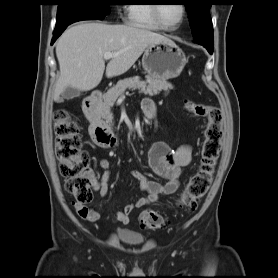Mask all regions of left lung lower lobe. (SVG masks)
Segmentation results:
<instances>
[{"label":"left lung lower lobe","instance_id":"left-lung-lower-lobe-1","mask_svg":"<svg viewBox=\"0 0 278 278\" xmlns=\"http://www.w3.org/2000/svg\"><path fill=\"white\" fill-rule=\"evenodd\" d=\"M204 47L208 50V52H209L210 54L213 53L214 47H209V46H204Z\"/></svg>","mask_w":278,"mask_h":278}]
</instances>
